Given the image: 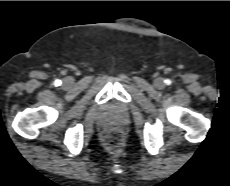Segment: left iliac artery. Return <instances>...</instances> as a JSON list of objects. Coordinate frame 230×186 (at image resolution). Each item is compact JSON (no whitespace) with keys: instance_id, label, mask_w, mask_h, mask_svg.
I'll list each match as a JSON object with an SVG mask.
<instances>
[{"instance_id":"44dca946","label":"left iliac artery","mask_w":230,"mask_h":186,"mask_svg":"<svg viewBox=\"0 0 230 186\" xmlns=\"http://www.w3.org/2000/svg\"><path fill=\"white\" fill-rule=\"evenodd\" d=\"M165 83H166L167 85H170V84L172 83V81H171L170 79H166V80H165Z\"/></svg>"}]
</instances>
